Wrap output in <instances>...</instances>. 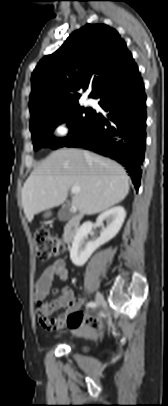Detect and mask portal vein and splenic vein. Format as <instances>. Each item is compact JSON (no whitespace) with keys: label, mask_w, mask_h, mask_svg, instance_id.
<instances>
[{"label":"portal vein and splenic vein","mask_w":168,"mask_h":406,"mask_svg":"<svg viewBox=\"0 0 168 406\" xmlns=\"http://www.w3.org/2000/svg\"><path fill=\"white\" fill-rule=\"evenodd\" d=\"M80 192V188L78 186H73L71 188V193L78 194Z\"/></svg>","instance_id":"portal-vein-and-splenic-vein-1"}]
</instances>
